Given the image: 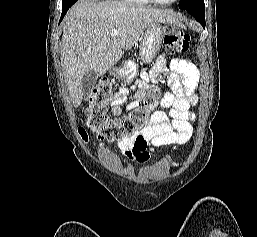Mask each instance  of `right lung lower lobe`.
<instances>
[{"label": "right lung lower lobe", "mask_w": 257, "mask_h": 237, "mask_svg": "<svg viewBox=\"0 0 257 237\" xmlns=\"http://www.w3.org/2000/svg\"><path fill=\"white\" fill-rule=\"evenodd\" d=\"M69 8L70 7L62 9V14H61L60 22L62 21L63 17L65 16V14H66V12L68 11Z\"/></svg>", "instance_id": "obj_1"}]
</instances>
